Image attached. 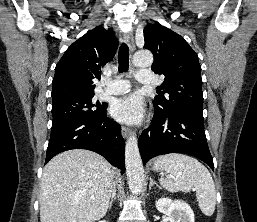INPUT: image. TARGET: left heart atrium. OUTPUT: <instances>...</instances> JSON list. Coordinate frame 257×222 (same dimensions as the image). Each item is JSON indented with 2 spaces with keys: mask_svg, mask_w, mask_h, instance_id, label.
Instances as JSON below:
<instances>
[{
  "mask_svg": "<svg viewBox=\"0 0 257 222\" xmlns=\"http://www.w3.org/2000/svg\"><path fill=\"white\" fill-rule=\"evenodd\" d=\"M112 113L123 123L137 124L143 119L144 104L137 94H129L115 102Z\"/></svg>",
  "mask_w": 257,
  "mask_h": 222,
  "instance_id": "obj_1",
  "label": "left heart atrium"
}]
</instances>
